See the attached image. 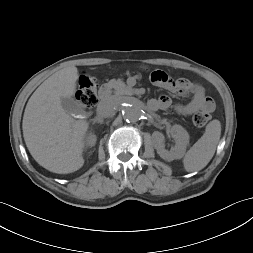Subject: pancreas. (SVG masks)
<instances>
[{"label": "pancreas", "mask_w": 253, "mask_h": 253, "mask_svg": "<svg viewBox=\"0 0 253 253\" xmlns=\"http://www.w3.org/2000/svg\"><path fill=\"white\" fill-rule=\"evenodd\" d=\"M112 87L114 89V97H119L122 95H131L132 89L129 88L122 80L118 79L112 82Z\"/></svg>", "instance_id": "obj_1"}]
</instances>
